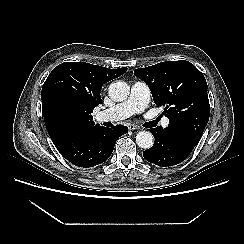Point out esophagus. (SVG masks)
<instances>
[{
  "mask_svg": "<svg viewBox=\"0 0 244 244\" xmlns=\"http://www.w3.org/2000/svg\"><path fill=\"white\" fill-rule=\"evenodd\" d=\"M128 127H129V130H132V131L139 129V126L134 125V124H130Z\"/></svg>",
  "mask_w": 244,
  "mask_h": 244,
  "instance_id": "34e87169",
  "label": "esophagus"
}]
</instances>
